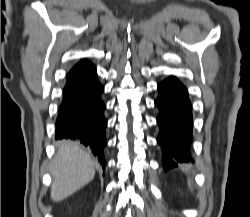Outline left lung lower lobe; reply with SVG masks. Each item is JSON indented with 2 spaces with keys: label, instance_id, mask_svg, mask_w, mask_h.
I'll list each match as a JSON object with an SVG mask.
<instances>
[{
  "label": "left lung lower lobe",
  "instance_id": "obj_1",
  "mask_svg": "<svg viewBox=\"0 0 250 217\" xmlns=\"http://www.w3.org/2000/svg\"><path fill=\"white\" fill-rule=\"evenodd\" d=\"M159 95L155 105L159 108L157 123L160 126L158 143L162 147L165 170L178 162L191 159L192 141L191 103L185 86L171 76L158 84Z\"/></svg>",
  "mask_w": 250,
  "mask_h": 217
}]
</instances>
